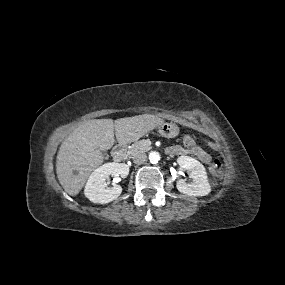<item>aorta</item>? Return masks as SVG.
Wrapping results in <instances>:
<instances>
[{"instance_id": "obj_1", "label": "aorta", "mask_w": 285, "mask_h": 285, "mask_svg": "<svg viewBox=\"0 0 285 285\" xmlns=\"http://www.w3.org/2000/svg\"><path fill=\"white\" fill-rule=\"evenodd\" d=\"M149 160L151 163L153 164H156L159 162L160 160V154L156 151H152L150 154H149Z\"/></svg>"}]
</instances>
